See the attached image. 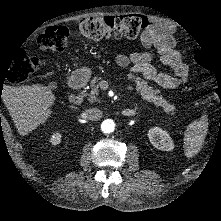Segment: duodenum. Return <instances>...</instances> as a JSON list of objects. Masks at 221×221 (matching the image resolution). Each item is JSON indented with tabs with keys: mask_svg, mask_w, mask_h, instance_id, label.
Returning <instances> with one entry per match:
<instances>
[{
	"mask_svg": "<svg viewBox=\"0 0 221 221\" xmlns=\"http://www.w3.org/2000/svg\"><path fill=\"white\" fill-rule=\"evenodd\" d=\"M87 82L88 75L84 70L76 71L70 76V86L73 91L69 95V101L71 103H78L86 98Z\"/></svg>",
	"mask_w": 221,
	"mask_h": 221,
	"instance_id": "1",
	"label": "duodenum"
}]
</instances>
